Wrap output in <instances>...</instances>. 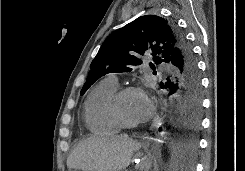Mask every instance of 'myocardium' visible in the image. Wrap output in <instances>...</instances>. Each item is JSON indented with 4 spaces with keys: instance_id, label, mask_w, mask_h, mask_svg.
Masks as SVG:
<instances>
[{
    "instance_id": "f54148a6",
    "label": "myocardium",
    "mask_w": 245,
    "mask_h": 171,
    "mask_svg": "<svg viewBox=\"0 0 245 171\" xmlns=\"http://www.w3.org/2000/svg\"><path fill=\"white\" fill-rule=\"evenodd\" d=\"M140 94L142 96H145L144 91L137 86H125L122 87L120 89H118L114 95L111 98L110 101V111L112 114V117L114 118V120L116 121V123L118 124V126L120 128L123 129H135L138 128L140 126V123H131L126 121L120 112V102L122 100V98L128 94Z\"/></svg>"
}]
</instances>
